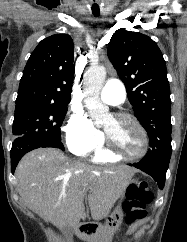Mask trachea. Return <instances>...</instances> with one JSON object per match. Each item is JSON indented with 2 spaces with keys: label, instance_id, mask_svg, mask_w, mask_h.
Returning a JSON list of instances; mask_svg holds the SVG:
<instances>
[{
  "label": "trachea",
  "instance_id": "1",
  "mask_svg": "<svg viewBox=\"0 0 187 242\" xmlns=\"http://www.w3.org/2000/svg\"><path fill=\"white\" fill-rule=\"evenodd\" d=\"M94 16H99V12H93Z\"/></svg>",
  "mask_w": 187,
  "mask_h": 242
}]
</instances>
